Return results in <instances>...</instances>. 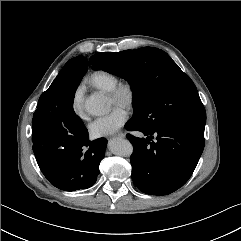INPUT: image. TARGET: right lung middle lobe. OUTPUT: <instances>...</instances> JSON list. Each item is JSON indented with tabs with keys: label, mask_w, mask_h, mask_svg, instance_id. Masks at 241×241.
Returning <instances> with one entry per match:
<instances>
[{
	"label": "right lung middle lobe",
	"mask_w": 241,
	"mask_h": 241,
	"mask_svg": "<svg viewBox=\"0 0 241 241\" xmlns=\"http://www.w3.org/2000/svg\"><path fill=\"white\" fill-rule=\"evenodd\" d=\"M82 76L58 75L40 96L32 119L33 129L52 148H64L78 142L87 132L82 120L73 109L74 95Z\"/></svg>",
	"instance_id": "obj_1"
}]
</instances>
